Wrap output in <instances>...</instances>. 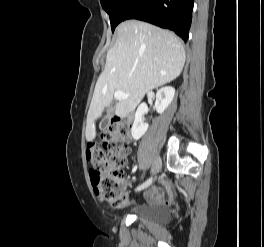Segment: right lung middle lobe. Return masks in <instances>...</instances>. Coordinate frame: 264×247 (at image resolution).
<instances>
[{
	"label": "right lung middle lobe",
	"instance_id": "dd1d6c3e",
	"mask_svg": "<svg viewBox=\"0 0 264 247\" xmlns=\"http://www.w3.org/2000/svg\"><path fill=\"white\" fill-rule=\"evenodd\" d=\"M134 0H100L103 9L109 14L112 31L123 20L127 8Z\"/></svg>",
	"mask_w": 264,
	"mask_h": 247
}]
</instances>
